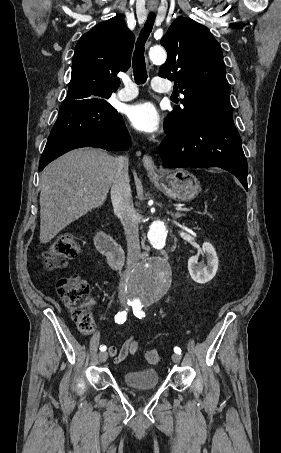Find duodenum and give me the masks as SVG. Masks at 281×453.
I'll return each mask as SVG.
<instances>
[{"mask_svg":"<svg viewBox=\"0 0 281 453\" xmlns=\"http://www.w3.org/2000/svg\"><path fill=\"white\" fill-rule=\"evenodd\" d=\"M95 243L100 253L105 255L114 269H119L124 263V251L121 246L107 233L99 232Z\"/></svg>","mask_w":281,"mask_h":453,"instance_id":"obj_1","label":"duodenum"}]
</instances>
